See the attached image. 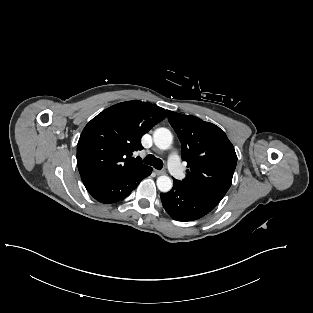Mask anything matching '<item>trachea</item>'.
Wrapping results in <instances>:
<instances>
[{
    "label": "trachea",
    "mask_w": 313,
    "mask_h": 313,
    "mask_svg": "<svg viewBox=\"0 0 313 313\" xmlns=\"http://www.w3.org/2000/svg\"><path fill=\"white\" fill-rule=\"evenodd\" d=\"M143 162H144L145 164H147V165H152L154 168H156V169H158V170L162 169V167H163V162H162V160L159 159V158H156V157H155L154 155H152V154H148V155L144 158Z\"/></svg>",
    "instance_id": "obj_1"
}]
</instances>
